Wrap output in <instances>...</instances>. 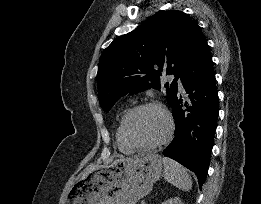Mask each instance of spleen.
Masks as SVG:
<instances>
[{"label": "spleen", "instance_id": "obj_1", "mask_svg": "<svg viewBox=\"0 0 261 204\" xmlns=\"http://www.w3.org/2000/svg\"><path fill=\"white\" fill-rule=\"evenodd\" d=\"M164 178L173 186L183 191H189L192 188V179L187 170L178 162L163 158Z\"/></svg>", "mask_w": 261, "mask_h": 204}]
</instances>
